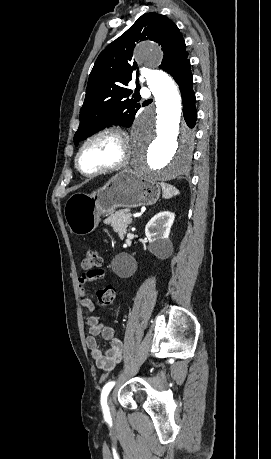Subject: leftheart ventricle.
I'll return each mask as SVG.
<instances>
[{
    "mask_svg": "<svg viewBox=\"0 0 271 459\" xmlns=\"http://www.w3.org/2000/svg\"><path fill=\"white\" fill-rule=\"evenodd\" d=\"M121 154V144L112 134H104L90 140L80 155L79 164L86 172L94 171L116 161Z\"/></svg>",
    "mask_w": 271,
    "mask_h": 459,
    "instance_id": "left-heart-ventricle-1",
    "label": "left heart ventricle"
}]
</instances>
